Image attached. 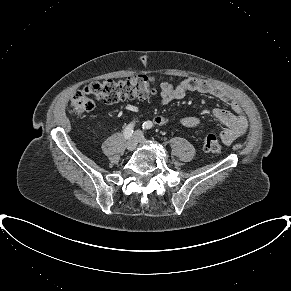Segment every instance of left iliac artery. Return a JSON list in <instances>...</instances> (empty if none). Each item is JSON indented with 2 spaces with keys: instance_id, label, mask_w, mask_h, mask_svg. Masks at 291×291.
<instances>
[{
  "instance_id": "1",
  "label": "left iliac artery",
  "mask_w": 291,
  "mask_h": 291,
  "mask_svg": "<svg viewBox=\"0 0 291 291\" xmlns=\"http://www.w3.org/2000/svg\"><path fill=\"white\" fill-rule=\"evenodd\" d=\"M153 127V123L151 121H146L143 123L142 128L144 130H149Z\"/></svg>"
}]
</instances>
